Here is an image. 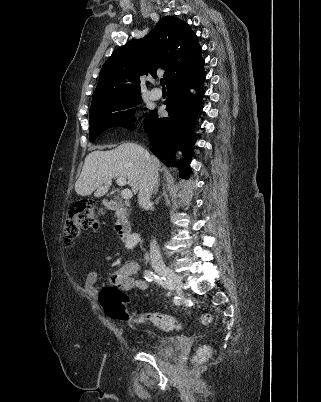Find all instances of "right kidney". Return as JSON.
<instances>
[{
	"label": "right kidney",
	"instance_id": "obj_1",
	"mask_svg": "<svg viewBox=\"0 0 321 402\" xmlns=\"http://www.w3.org/2000/svg\"><path fill=\"white\" fill-rule=\"evenodd\" d=\"M140 241H141V239H140V236L138 234H132L127 239V242H126L125 246H126L127 249H133L138 244V242H140Z\"/></svg>",
	"mask_w": 321,
	"mask_h": 402
}]
</instances>
